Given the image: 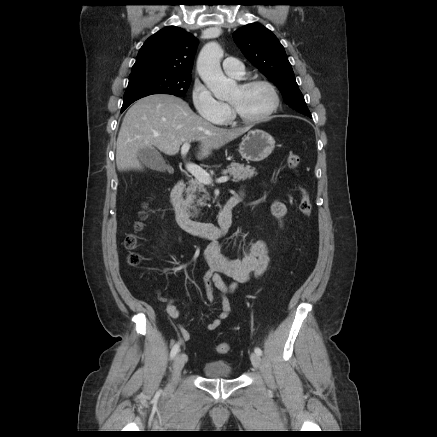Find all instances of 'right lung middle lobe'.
Segmentation results:
<instances>
[{
    "label": "right lung middle lobe",
    "mask_w": 437,
    "mask_h": 437,
    "mask_svg": "<svg viewBox=\"0 0 437 437\" xmlns=\"http://www.w3.org/2000/svg\"><path fill=\"white\" fill-rule=\"evenodd\" d=\"M190 82L191 75H171L154 70L132 71L121 111L123 112L134 101L152 94L184 96Z\"/></svg>",
    "instance_id": "obj_1"
}]
</instances>
